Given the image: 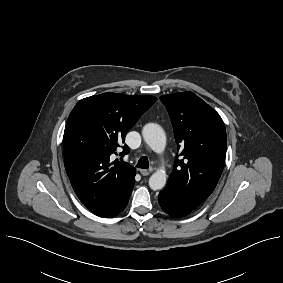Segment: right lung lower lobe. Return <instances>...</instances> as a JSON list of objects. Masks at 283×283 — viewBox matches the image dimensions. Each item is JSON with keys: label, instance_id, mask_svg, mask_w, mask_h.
<instances>
[{"label": "right lung lower lobe", "instance_id": "right-lung-lower-lobe-1", "mask_svg": "<svg viewBox=\"0 0 283 283\" xmlns=\"http://www.w3.org/2000/svg\"><path fill=\"white\" fill-rule=\"evenodd\" d=\"M128 200H129V198L120 206V208L117 211H115L113 214H111L108 217L115 216V215L119 214L121 211H123V209L127 206Z\"/></svg>", "mask_w": 283, "mask_h": 283}]
</instances>
